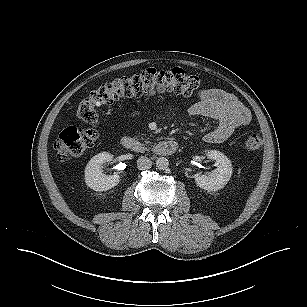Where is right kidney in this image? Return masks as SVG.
<instances>
[{
    "instance_id": "obj_1",
    "label": "right kidney",
    "mask_w": 307,
    "mask_h": 307,
    "mask_svg": "<svg viewBox=\"0 0 307 307\" xmlns=\"http://www.w3.org/2000/svg\"><path fill=\"white\" fill-rule=\"evenodd\" d=\"M112 160V154L102 152L95 155L88 162L85 168V183L88 187L95 191H107L119 184V175H104L101 168L103 163L110 162Z\"/></svg>"
}]
</instances>
